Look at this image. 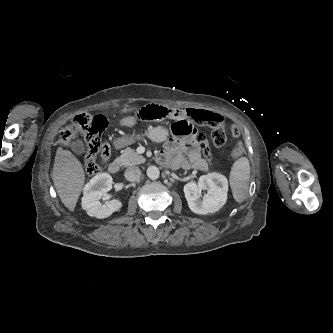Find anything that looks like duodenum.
I'll list each match as a JSON object with an SVG mask.
<instances>
[{
	"label": "duodenum",
	"mask_w": 333,
	"mask_h": 333,
	"mask_svg": "<svg viewBox=\"0 0 333 333\" xmlns=\"http://www.w3.org/2000/svg\"><path fill=\"white\" fill-rule=\"evenodd\" d=\"M119 163L117 161H112L109 165H108V171L111 174H116L119 171Z\"/></svg>",
	"instance_id": "obj_1"
}]
</instances>
